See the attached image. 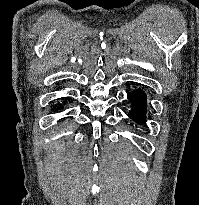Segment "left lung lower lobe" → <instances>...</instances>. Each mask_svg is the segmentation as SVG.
Returning <instances> with one entry per match:
<instances>
[{"label": "left lung lower lobe", "mask_w": 199, "mask_h": 205, "mask_svg": "<svg viewBox=\"0 0 199 205\" xmlns=\"http://www.w3.org/2000/svg\"><path fill=\"white\" fill-rule=\"evenodd\" d=\"M128 99L132 103V109L129 117L138 124H142L146 120V95L140 89L133 91L128 95Z\"/></svg>", "instance_id": "1"}]
</instances>
